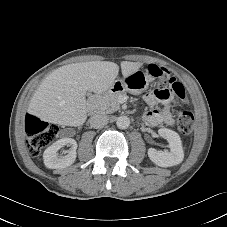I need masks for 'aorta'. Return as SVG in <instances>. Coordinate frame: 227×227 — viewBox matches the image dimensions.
Instances as JSON below:
<instances>
[{
    "mask_svg": "<svg viewBox=\"0 0 227 227\" xmlns=\"http://www.w3.org/2000/svg\"><path fill=\"white\" fill-rule=\"evenodd\" d=\"M119 129H127L130 126V119L127 116H120L116 120Z\"/></svg>",
    "mask_w": 227,
    "mask_h": 227,
    "instance_id": "obj_1",
    "label": "aorta"
}]
</instances>
